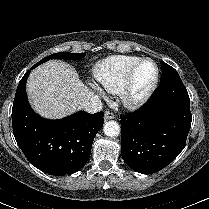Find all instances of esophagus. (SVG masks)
I'll return each instance as SVG.
<instances>
[{
	"instance_id": "obj_1",
	"label": "esophagus",
	"mask_w": 209,
	"mask_h": 209,
	"mask_svg": "<svg viewBox=\"0 0 209 209\" xmlns=\"http://www.w3.org/2000/svg\"><path fill=\"white\" fill-rule=\"evenodd\" d=\"M115 118V114L110 112V111H106L104 114V119L105 120H109V119H114Z\"/></svg>"
}]
</instances>
